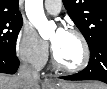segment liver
<instances>
[{"mask_svg":"<svg viewBox=\"0 0 107 89\" xmlns=\"http://www.w3.org/2000/svg\"><path fill=\"white\" fill-rule=\"evenodd\" d=\"M65 84V83H60ZM82 87V89H106V85L102 83H85L77 84ZM0 89H40L39 80L38 81H23L18 77V75L9 76L6 74L0 75Z\"/></svg>","mask_w":107,"mask_h":89,"instance_id":"obj_1","label":"liver"}]
</instances>
